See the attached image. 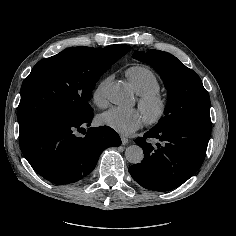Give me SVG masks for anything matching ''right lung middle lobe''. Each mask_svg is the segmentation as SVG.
Listing matches in <instances>:
<instances>
[{
    "label": "right lung middle lobe",
    "instance_id": "dd1d6c3e",
    "mask_svg": "<svg viewBox=\"0 0 236 236\" xmlns=\"http://www.w3.org/2000/svg\"><path fill=\"white\" fill-rule=\"evenodd\" d=\"M129 49L73 47L39 61L22 83L20 132L47 118L80 119L91 114L89 100L96 82Z\"/></svg>",
    "mask_w": 236,
    "mask_h": 236
}]
</instances>
